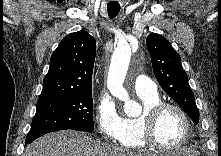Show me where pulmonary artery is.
<instances>
[{
	"mask_svg": "<svg viewBox=\"0 0 221 156\" xmlns=\"http://www.w3.org/2000/svg\"><path fill=\"white\" fill-rule=\"evenodd\" d=\"M134 89L138 95H155L157 94L156 84L147 76H137Z\"/></svg>",
	"mask_w": 221,
	"mask_h": 156,
	"instance_id": "e3ab8cb5",
	"label": "pulmonary artery"
}]
</instances>
